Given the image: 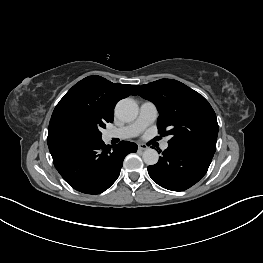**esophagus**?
<instances>
[{"label":"esophagus","mask_w":263,"mask_h":263,"mask_svg":"<svg viewBox=\"0 0 263 263\" xmlns=\"http://www.w3.org/2000/svg\"><path fill=\"white\" fill-rule=\"evenodd\" d=\"M146 149H148V146H147L146 144H139V145H138V150L144 151V150H146Z\"/></svg>","instance_id":"1"}]
</instances>
